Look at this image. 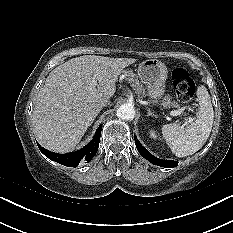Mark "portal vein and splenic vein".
<instances>
[{
	"label": "portal vein and splenic vein",
	"mask_w": 233,
	"mask_h": 233,
	"mask_svg": "<svg viewBox=\"0 0 233 233\" xmlns=\"http://www.w3.org/2000/svg\"><path fill=\"white\" fill-rule=\"evenodd\" d=\"M92 84L97 85V80L95 78L92 80ZM182 112H183V109L174 110V111L170 112V115L171 116H177V115H180ZM190 120H192V119H190Z\"/></svg>",
	"instance_id": "obj_1"
}]
</instances>
